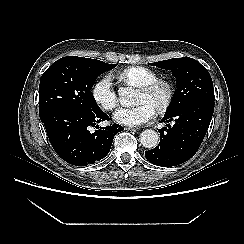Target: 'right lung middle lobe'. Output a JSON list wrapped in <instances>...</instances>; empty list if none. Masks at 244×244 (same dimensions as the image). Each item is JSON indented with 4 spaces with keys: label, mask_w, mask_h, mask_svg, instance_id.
<instances>
[{
    "label": "right lung middle lobe",
    "mask_w": 244,
    "mask_h": 244,
    "mask_svg": "<svg viewBox=\"0 0 244 244\" xmlns=\"http://www.w3.org/2000/svg\"><path fill=\"white\" fill-rule=\"evenodd\" d=\"M114 67L116 64L77 56L63 57L54 62L40 80V119L59 110L100 109L91 88L100 74Z\"/></svg>",
    "instance_id": "1"
}]
</instances>
